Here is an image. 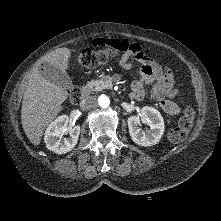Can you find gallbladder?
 Here are the masks:
<instances>
[{"instance_id":"gallbladder-1","label":"gallbladder","mask_w":221,"mask_h":221,"mask_svg":"<svg viewBox=\"0 0 221 221\" xmlns=\"http://www.w3.org/2000/svg\"><path fill=\"white\" fill-rule=\"evenodd\" d=\"M40 73L50 82L56 83L66 89L72 88V81L68 74L63 70L42 67Z\"/></svg>"}]
</instances>
